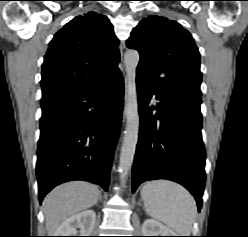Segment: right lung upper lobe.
Here are the masks:
<instances>
[{"label": "right lung upper lobe", "mask_w": 248, "mask_h": 237, "mask_svg": "<svg viewBox=\"0 0 248 237\" xmlns=\"http://www.w3.org/2000/svg\"><path fill=\"white\" fill-rule=\"evenodd\" d=\"M119 40L97 12L77 16L49 44L42 65V99L81 90L117 73Z\"/></svg>", "instance_id": "cb5924a9"}]
</instances>
